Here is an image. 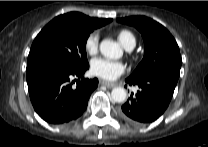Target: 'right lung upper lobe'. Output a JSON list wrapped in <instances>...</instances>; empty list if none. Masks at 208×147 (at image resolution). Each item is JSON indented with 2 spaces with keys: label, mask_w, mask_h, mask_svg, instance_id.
<instances>
[{
  "label": "right lung upper lobe",
  "mask_w": 208,
  "mask_h": 147,
  "mask_svg": "<svg viewBox=\"0 0 208 147\" xmlns=\"http://www.w3.org/2000/svg\"><path fill=\"white\" fill-rule=\"evenodd\" d=\"M52 21H73L96 29L111 22L112 19L91 18L79 12H70L67 14L57 16Z\"/></svg>",
  "instance_id": "1"
}]
</instances>
